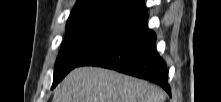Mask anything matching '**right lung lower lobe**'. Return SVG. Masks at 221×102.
<instances>
[{
	"label": "right lung lower lobe",
	"mask_w": 221,
	"mask_h": 102,
	"mask_svg": "<svg viewBox=\"0 0 221 102\" xmlns=\"http://www.w3.org/2000/svg\"><path fill=\"white\" fill-rule=\"evenodd\" d=\"M147 19V12L142 13L128 28L97 48L78 66H101L143 78L158 84L171 95L166 63L156 51V34L148 28ZM57 84L52 85V89Z\"/></svg>",
	"instance_id": "98d812e1"
}]
</instances>
